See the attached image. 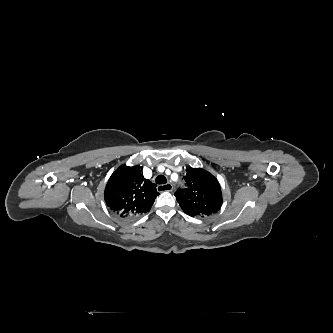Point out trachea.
Returning <instances> with one entry per match:
<instances>
[{
    "instance_id": "3493384b",
    "label": "trachea",
    "mask_w": 333,
    "mask_h": 333,
    "mask_svg": "<svg viewBox=\"0 0 333 333\" xmlns=\"http://www.w3.org/2000/svg\"><path fill=\"white\" fill-rule=\"evenodd\" d=\"M166 182H167V179L164 175H159L156 177L157 184H165Z\"/></svg>"
}]
</instances>
